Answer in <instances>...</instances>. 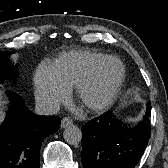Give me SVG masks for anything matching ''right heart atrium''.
Masks as SVG:
<instances>
[{
    "mask_svg": "<svg viewBox=\"0 0 168 168\" xmlns=\"http://www.w3.org/2000/svg\"><path fill=\"white\" fill-rule=\"evenodd\" d=\"M34 87L36 100L46 111L55 110L69 95V89L58 80L52 67L44 64L35 72Z\"/></svg>",
    "mask_w": 168,
    "mask_h": 168,
    "instance_id": "d8ad5b80",
    "label": "right heart atrium"
}]
</instances>
